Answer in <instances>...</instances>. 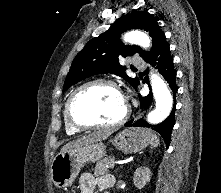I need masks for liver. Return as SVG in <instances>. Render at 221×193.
I'll return each mask as SVG.
<instances>
[{
	"instance_id": "liver-1",
	"label": "liver",
	"mask_w": 221,
	"mask_h": 193,
	"mask_svg": "<svg viewBox=\"0 0 221 193\" xmlns=\"http://www.w3.org/2000/svg\"><path fill=\"white\" fill-rule=\"evenodd\" d=\"M111 133L112 132L110 130H99V131L92 132L81 138L68 142L62 147V149L60 150V153L66 152L74 148H79L86 144L100 142L101 140H105L108 136H110Z\"/></svg>"
}]
</instances>
